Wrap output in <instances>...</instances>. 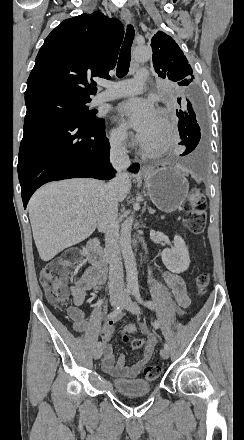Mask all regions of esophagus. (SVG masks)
Wrapping results in <instances>:
<instances>
[{"mask_svg": "<svg viewBox=\"0 0 244 440\" xmlns=\"http://www.w3.org/2000/svg\"><path fill=\"white\" fill-rule=\"evenodd\" d=\"M121 17L123 18V20H124L126 23H130V22H131V13H130V11H129L128 8H123V9H122V11H121ZM151 168H152L151 165L146 164V165H143L141 171H142V173H148V171H149Z\"/></svg>", "mask_w": 244, "mask_h": 440, "instance_id": "esophagus-1", "label": "esophagus"}]
</instances>
